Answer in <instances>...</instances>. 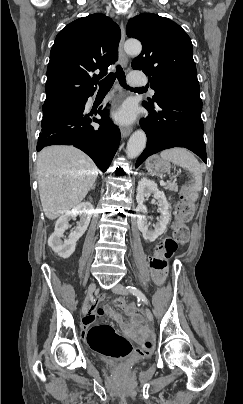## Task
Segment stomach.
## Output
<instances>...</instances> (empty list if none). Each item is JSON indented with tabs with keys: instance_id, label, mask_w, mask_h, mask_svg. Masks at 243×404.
<instances>
[{
	"instance_id": "1",
	"label": "stomach",
	"mask_w": 243,
	"mask_h": 404,
	"mask_svg": "<svg viewBox=\"0 0 243 404\" xmlns=\"http://www.w3.org/2000/svg\"><path fill=\"white\" fill-rule=\"evenodd\" d=\"M145 167L151 175H162L170 170L171 165L168 160L152 156L146 161Z\"/></svg>"
}]
</instances>
